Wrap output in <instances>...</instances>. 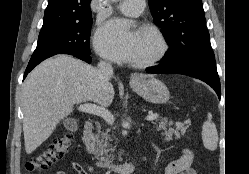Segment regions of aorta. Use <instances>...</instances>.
Masks as SVG:
<instances>
[{"label":"aorta","instance_id":"1","mask_svg":"<svg viewBox=\"0 0 249 174\" xmlns=\"http://www.w3.org/2000/svg\"><path fill=\"white\" fill-rule=\"evenodd\" d=\"M113 2H118L119 0H112Z\"/></svg>","mask_w":249,"mask_h":174}]
</instances>
